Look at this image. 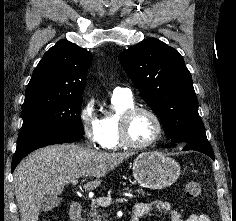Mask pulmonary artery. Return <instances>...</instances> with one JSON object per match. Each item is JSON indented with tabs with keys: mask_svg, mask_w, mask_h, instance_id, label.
Returning a JSON list of instances; mask_svg holds the SVG:
<instances>
[{
	"mask_svg": "<svg viewBox=\"0 0 236 221\" xmlns=\"http://www.w3.org/2000/svg\"><path fill=\"white\" fill-rule=\"evenodd\" d=\"M114 96H120V97H132V92L129 88L126 87H116L113 91Z\"/></svg>",
	"mask_w": 236,
	"mask_h": 221,
	"instance_id": "obj_1",
	"label": "pulmonary artery"
}]
</instances>
